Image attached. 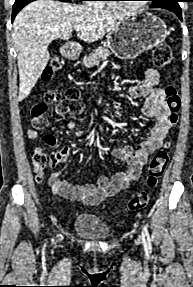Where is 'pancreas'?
Wrapping results in <instances>:
<instances>
[{"label": "pancreas", "mask_w": 193, "mask_h": 287, "mask_svg": "<svg viewBox=\"0 0 193 287\" xmlns=\"http://www.w3.org/2000/svg\"><path fill=\"white\" fill-rule=\"evenodd\" d=\"M111 55L110 51L106 47H98L89 56H85L83 64L87 68H91L96 65L100 59L106 60Z\"/></svg>", "instance_id": "obj_1"}]
</instances>
